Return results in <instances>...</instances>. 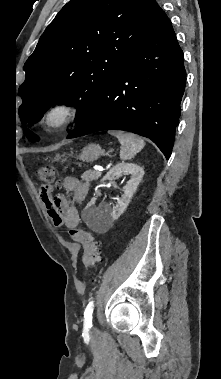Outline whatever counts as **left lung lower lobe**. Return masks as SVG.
Here are the masks:
<instances>
[{"instance_id": "obj_1", "label": "left lung lower lobe", "mask_w": 221, "mask_h": 379, "mask_svg": "<svg viewBox=\"0 0 221 379\" xmlns=\"http://www.w3.org/2000/svg\"><path fill=\"white\" fill-rule=\"evenodd\" d=\"M185 83L183 52L163 12L67 139L101 130H124L151 139L169 159Z\"/></svg>"}]
</instances>
